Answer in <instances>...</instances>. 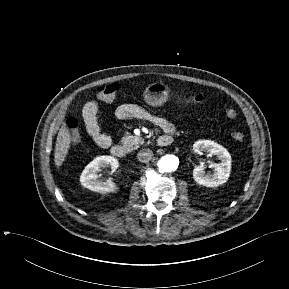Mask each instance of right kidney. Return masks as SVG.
Listing matches in <instances>:
<instances>
[{
	"instance_id": "ca27d5eb",
	"label": "right kidney",
	"mask_w": 289,
	"mask_h": 289,
	"mask_svg": "<svg viewBox=\"0 0 289 289\" xmlns=\"http://www.w3.org/2000/svg\"><path fill=\"white\" fill-rule=\"evenodd\" d=\"M111 166V169L115 171L119 167L118 160L112 156H99L91 161L80 176V182L85 188L99 193L115 192L119 188L111 179L102 181L99 179L97 172L100 168Z\"/></svg>"
}]
</instances>
